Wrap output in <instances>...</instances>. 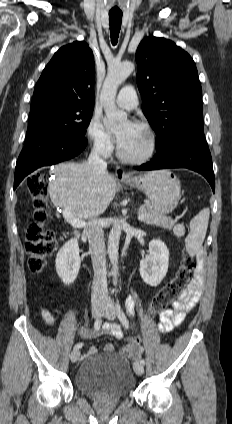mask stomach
Returning <instances> with one entry per match:
<instances>
[{"mask_svg": "<svg viewBox=\"0 0 232 424\" xmlns=\"http://www.w3.org/2000/svg\"><path fill=\"white\" fill-rule=\"evenodd\" d=\"M123 183L144 192L162 214L172 212L180 200V181L168 170L151 171Z\"/></svg>", "mask_w": 232, "mask_h": 424, "instance_id": "0dacf381", "label": "stomach"}]
</instances>
